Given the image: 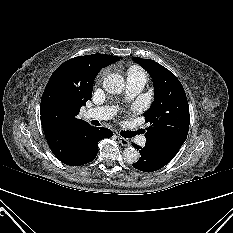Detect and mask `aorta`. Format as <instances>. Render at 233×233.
I'll use <instances>...</instances> for the list:
<instances>
[{"mask_svg": "<svg viewBox=\"0 0 233 233\" xmlns=\"http://www.w3.org/2000/svg\"><path fill=\"white\" fill-rule=\"evenodd\" d=\"M125 87L124 78L120 74H110L103 81V88L110 94H120ZM139 152L133 148L128 147L123 151L124 161L133 164L139 160Z\"/></svg>", "mask_w": 233, "mask_h": 233, "instance_id": "762f6f07", "label": "aorta"}]
</instances>
